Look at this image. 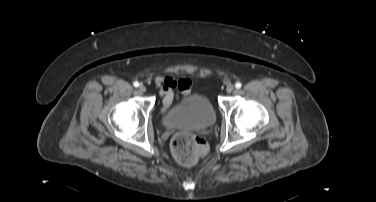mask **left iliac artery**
<instances>
[{
    "mask_svg": "<svg viewBox=\"0 0 376 202\" xmlns=\"http://www.w3.org/2000/svg\"><path fill=\"white\" fill-rule=\"evenodd\" d=\"M241 86H242V84H241L240 82H237V83L235 84V87H236L237 89L241 88Z\"/></svg>",
    "mask_w": 376,
    "mask_h": 202,
    "instance_id": "left-iliac-artery-1",
    "label": "left iliac artery"
}]
</instances>
